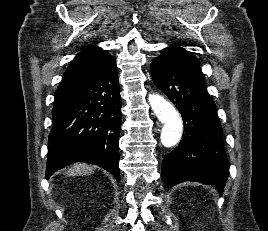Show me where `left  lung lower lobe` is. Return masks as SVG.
Masks as SVG:
<instances>
[{
	"mask_svg": "<svg viewBox=\"0 0 268 231\" xmlns=\"http://www.w3.org/2000/svg\"><path fill=\"white\" fill-rule=\"evenodd\" d=\"M151 74L155 85L178 108L184 123L182 140L163 158L162 180L169 187L184 181L213 185L222 195L229 163L204 77L159 57L151 61Z\"/></svg>",
	"mask_w": 268,
	"mask_h": 231,
	"instance_id": "obj_1",
	"label": "left lung lower lobe"
}]
</instances>
